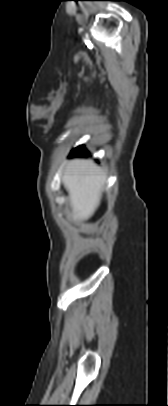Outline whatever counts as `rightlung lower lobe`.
Returning <instances> with one entry per match:
<instances>
[{"instance_id":"obj_1","label":"right lung lower lobe","mask_w":168,"mask_h":406,"mask_svg":"<svg viewBox=\"0 0 168 406\" xmlns=\"http://www.w3.org/2000/svg\"><path fill=\"white\" fill-rule=\"evenodd\" d=\"M86 153H88V151H87V150L85 149V147L82 145V146H79V147L73 149V150L71 151V156H72V157L83 156V155L86 154Z\"/></svg>"}]
</instances>
